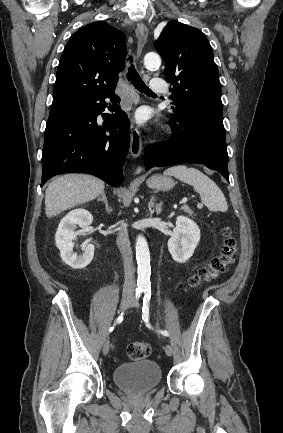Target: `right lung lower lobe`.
<instances>
[{
	"mask_svg": "<svg viewBox=\"0 0 283 433\" xmlns=\"http://www.w3.org/2000/svg\"><path fill=\"white\" fill-rule=\"evenodd\" d=\"M106 98L113 102L108 109L114 115L97 116L105 110ZM114 90L80 103L50 110L42 152L41 187L54 175L88 173L111 186L124 181L122 167L130 144L127 114L117 102Z\"/></svg>",
	"mask_w": 283,
	"mask_h": 433,
	"instance_id": "98d812e1",
	"label": "right lung lower lobe"
}]
</instances>
